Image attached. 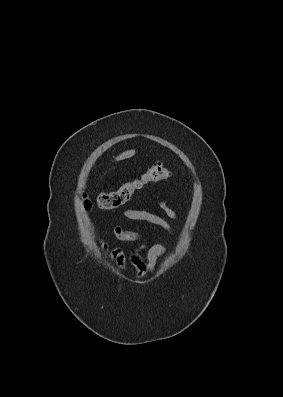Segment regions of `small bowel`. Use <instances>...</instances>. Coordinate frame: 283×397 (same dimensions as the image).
Masks as SVG:
<instances>
[{
	"label": "small bowel",
	"instance_id": "obj_1",
	"mask_svg": "<svg viewBox=\"0 0 283 397\" xmlns=\"http://www.w3.org/2000/svg\"><path fill=\"white\" fill-rule=\"evenodd\" d=\"M157 205L165 212L167 217L172 221H177L176 212L163 200L155 198ZM122 216L128 220L136 222H145L158 226L168 233H172V225L165 218L145 210L124 209ZM113 235L121 242L135 243L136 246L126 254L123 248H110L107 242L100 240L103 254L107 259L114 262L115 265L125 271L131 266L140 279L156 271L158 260L164 256L168 247L164 244L148 245L140 233L132 230H125L120 225H114L112 229ZM145 252V255H143Z\"/></svg>",
	"mask_w": 283,
	"mask_h": 397
}]
</instances>
